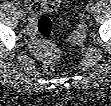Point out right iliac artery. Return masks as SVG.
I'll return each mask as SVG.
<instances>
[{"instance_id": "obj_1", "label": "right iliac artery", "mask_w": 111, "mask_h": 106, "mask_svg": "<svg viewBox=\"0 0 111 106\" xmlns=\"http://www.w3.org/2000/svg\"><path fill=\"white\" fill-rule=\"evenodd\" d=\"M16 5H17V8H18L19 13H24L23 8H22V7H20V5H19V4H16Z\"/></svg>"}]
</instances>
